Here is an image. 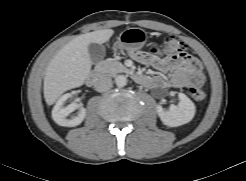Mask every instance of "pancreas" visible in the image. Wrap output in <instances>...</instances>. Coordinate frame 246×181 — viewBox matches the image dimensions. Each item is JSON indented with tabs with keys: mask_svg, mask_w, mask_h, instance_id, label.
Returning a JSON list of instances; mask_svg holds the SVG:
<instances>
[{
	"mask_svg": "<svg viewBox=\"0 0 246 181\" xmlns=\"http://www.w3.org/2000/svg\"><path fill=\"white\" fill-rule=\"evenodd\" d=\"M98 70L101 73L109 76H115L118 73L128 71V69L122 63L112 59H106L101 61V63L98 66Z\"/></svg>",
	"mask_w": 246,
	"mask_h": 181,
	"instance_id": "obj_1",
	"label": "pancreas"
}]
</instances>
